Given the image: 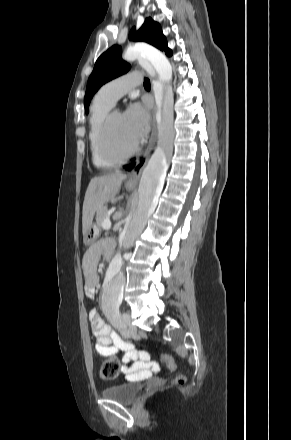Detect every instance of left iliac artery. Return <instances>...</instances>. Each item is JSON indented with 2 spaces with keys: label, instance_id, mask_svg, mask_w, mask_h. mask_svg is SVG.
<instances>
[{
  "label": "left iliac artery",
  "instance_id": "obj_1",
  "mask_svg": "<svg viewBox=\"0 0 291 440\" xmlns=\"http://www.w3.org/2000/svg\"><path fill=\"white\" fill-rule=\"evenodd\" d=\"M114 322L117 324V325H120V312H119V309H117V311H116V315H115V319H114Z\"/></svg>",
  "mask_w": 291,
  "mask_h": 440
}]
</instances>
